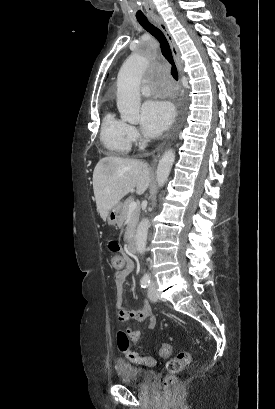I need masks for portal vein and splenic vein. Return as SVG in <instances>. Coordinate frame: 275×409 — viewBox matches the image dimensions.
Returning <instances> with one entry per match:
<instances>
[{
	"label": "portal vein and splenic vein",
	"instance_id": "obj_1",
	"mask_svg": "<svg viewBox=\"0 0 275 409\" xmlns=\"http://www.w3.org/2000/svg\"><path fill=\"white\" fill-rule=\"evenodd\" d=\"M136 207H137V205H136V202H134V200H133V202H130L129 213H132V211H134V209H136Z\"/></svg>",
	"mask_w": 275,
	"mask_h": 409
}]
</instances>
